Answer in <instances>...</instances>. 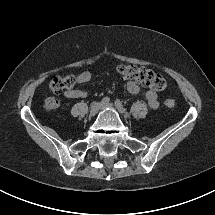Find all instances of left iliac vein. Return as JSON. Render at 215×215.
Here are the masks:
<instances>
[{
  "mask_svg": "<svg viewBox=\"0 0 215 215\" xmlns=\"http://www.w3.org/2000/svg\"><path fill=\"white\" fill-rule=\"evenodd\" d=\"M106 108H113V105L111 104V103H108V104H104L103 106H102V109H106ZM119 110V109H118ZM120 112H122V113H125V112H123V111H121V110H119Z\"/></svg>",
  "mask_w": 215,
  "mask_h": 215,
  "instance_id": "obj_1",
  "label": "left iliac vein"
}]
</instances>
